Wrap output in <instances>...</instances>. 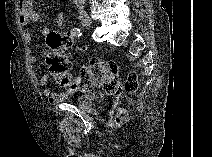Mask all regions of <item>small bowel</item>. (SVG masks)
I'll return each mask as SVG.
<instances>
[{
	"label": "small bowel",
	"mask_w": 212,
	"mask_h": 157,
	"mask_svg": "<svg viewBox=\"0 0 212 157\" xmlns=\"http://www.w3.org/2000/svg\"><path fill=\"white\" fill-rule=\"evenodd\" d=\"M39 13L35 10L31 1H22L19 4V24L24 28V37L28 43L32 41V33L29 29V25L32 22L39 20ZM65 16L63 12H59L56 16V25L62 27L64 24ZM50 28H42V35L46 37L50 33ZM77 50L81 53L88 51L87 46H77ZM37 61L36 56L30 57V62L35 63ZM93 61V60H91ZM48 76L42 75L39 79V86L43 89V94L50 104H57L66 99L64 94H56L50 88L47 87Z\"/></svg>",
	"instance_id": "c3829d8e"
}]
</instances>
